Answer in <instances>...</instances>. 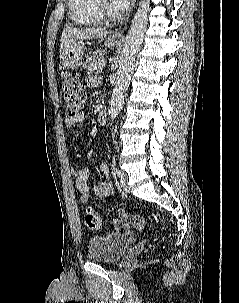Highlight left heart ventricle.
Instances as JSON below:
<instances>
[{
  "mask_svg": "<svg viewBox=\"0 0 239 303\" xmlns=\"http://www.w3.org/2000/svg\"><path fill=\"white\" fill-rule=\"evenodd\" d=\"M108 1V3L110 4V5H112L113 6V4H112V1L111 0H107ZM114 7V6H113Z\"/></svg>",
  "mask_w": 239,
  "mask_h": 303,
  "instance_id": "obj_1",
  "label": "left heart ventricle"
}]
</instances>
